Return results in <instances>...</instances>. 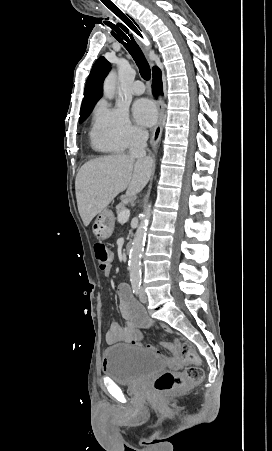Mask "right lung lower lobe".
<instances>
[{
    "mask_svg": "<svg viewBox=\"0 0 272 451\" xmlns=\"http://www.w3.org/2000/svg\"><path fill=\"white\" fill-rule=\"evenodd\" d=\"M153 93L155 95L162 94L161 71L157 67L153 68Z\"/></svg>",
    "mask_w": 272,
    "mask_h": 451,
    "instance_id": "right-lung-lower-lobe-1",
    "label": "right lung lower lobe"
}]
</instances>
